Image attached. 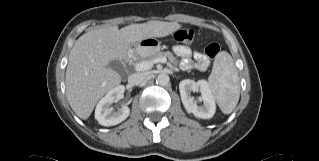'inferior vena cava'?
I'll return each mask as SVG.
<instances>
[{"mask_svg":"<svg viewBox=\"0 0 319 161\" xmlns=\"http://www.w3.org/2000/svg\"><path fill=\"white\" fill-rule=\"evenodd\" d=\"M146 77L147 74L143 72L133 73L128 77V82L131 85H139L146 79Z\"/></svg>","mask_w":319,"mask_h":161,"instance_id":"inferior-vena-cava-1","label":"inferior vena cava"}]
</instances>
